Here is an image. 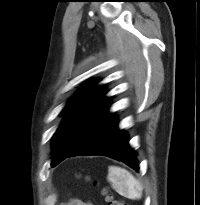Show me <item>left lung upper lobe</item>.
<instances>
[{"label":"left lung upper lobe","mask_w":200,"mask_h":205,"mask_svg":"<svg viewBox=\"0 0 200 205\" xmlns=\"http://www.w3.org/2000/svg\"><path fill=\"white\" fill-rule=\"evenodd\" d=\"M94 85L91 83L85 86L63 109L66 118L53 137L52 167L82 141L108 110L109 98L104 97L106 92L103 86Z\"/></svg>","instance_id":"obj_1"}]
</instances>
